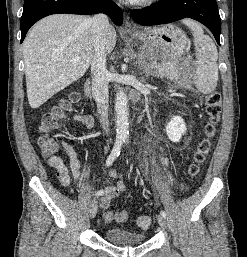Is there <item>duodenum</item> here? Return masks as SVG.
I'll return each instance as SVG.
<instances>
[{"instance_id":"obj_1","label":"duodenum","mask_w":247,"mask_h":257,"mask_svg":"<svg viewBox=\"0 0 247 257\" xmlns=\"http://www.w3.org/2000/svg\"><path fill=\"white\" fill-rule=\"evenodd\" d=\"M85 92L87 95H91V81L87 80L85 83Z\"/></svg>"}]
</instances>
